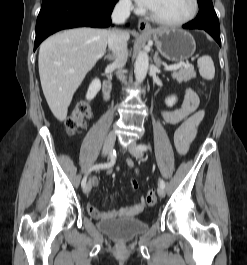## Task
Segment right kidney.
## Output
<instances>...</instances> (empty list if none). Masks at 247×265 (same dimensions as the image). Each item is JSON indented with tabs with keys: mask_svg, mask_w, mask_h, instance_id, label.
<instances>
[{
	"mask_svg": "<svg viewBox=\"0 0 247 265\" xmlns=\"http://www.w3.org/2000/svg\"><path fill=\"white\" fill-rule=\"evenodd\" d=\"M100 89H101V82L99 79L96 78L89 85L86 98L93 99L96 96V94L100 91Z\"/></svg>",
	"mask_w": 247,
	"mask_h": 265,
	"instance_id": "obj_1",
	"label": "right kidney"
}]
</instances>
